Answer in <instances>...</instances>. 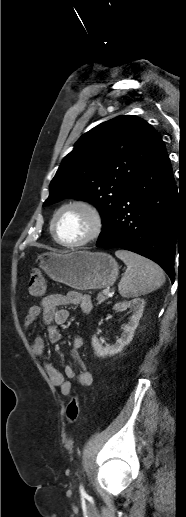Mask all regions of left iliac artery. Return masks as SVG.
Masks as SVG:
<instances>
[{"label":"left iliac artery","mask_w":186,"mask_h":517,"mask_svg":"<svg viewBox=\"0 0 186 517\" xmlns=\"http://www.w3.org/2000/svg\"><path fill=\"white\" fill-rule=\"evenodd\" d=\"M80 492H81V494H85V491H84V488L82 485H80Z\"/></svg>","instance_id":"left-iliac-artery-1"}]
</instances>
